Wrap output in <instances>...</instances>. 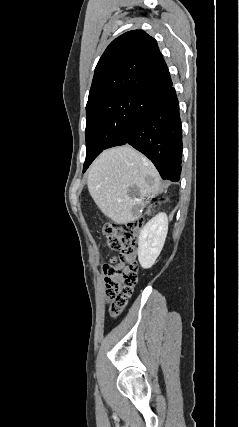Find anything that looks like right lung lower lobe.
<instances>
[{
  "label": "right lung lower lobe",
  "mask_w": 239,
  "mask_h": 427,
  "mask_svg": "<svg viewBox=\"0 0 239 427\" xmlns=\"http://www.w3.org/2000/svg\"><path fill=\"white\" fill-rule=\"evenodd\" d=\"M129 144L158 169L164 180L179 181L181 174L182 131L179 104L172 84L142 97L131 120Z\"/></svg>",
  "instance_id": "obj_1"
}]
</instances>
